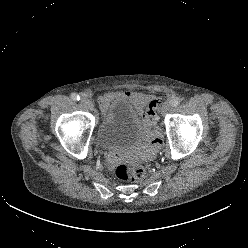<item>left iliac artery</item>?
<instances>
[{"instance_id":"obj_1","label":"left iliac artery","mask_w":248,"mask_h":248,"mask_svg":"<svg viewBox=\"0 0 248 248\" xmlns=\"http://www.w3.org/2000/svg\"><path fill=\"white\" fill-rule=\"evenodd\" d=\"M182 99L180 97H175L171 103H172V106L176 107L178 106L180 103H181Z\"/></svg>"}]
</instances>
